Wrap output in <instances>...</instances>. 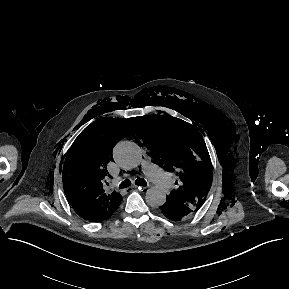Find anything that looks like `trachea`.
Here are the masks:
<instances>
[{"instance_id": "obj_1", "label": "trachea", "mask_w": 289, "mask_h": 289, "mask_svg": "<svg viewBox=\"0 0 289 289\" xmlns=\"http://www.w3.org/2000/svg\"><path fill=\"white\" fill-rule=\"evenodd\" d=\"M135 184L136 185H139V186H146L147 185V183H146V181L143 179V178H137L136 180H135ZM131 185V181L130 180H128V179H126V180H124L121 184H120V188H127V187H129Z\"/></svg>"}]
</instances>
